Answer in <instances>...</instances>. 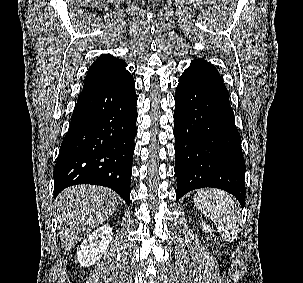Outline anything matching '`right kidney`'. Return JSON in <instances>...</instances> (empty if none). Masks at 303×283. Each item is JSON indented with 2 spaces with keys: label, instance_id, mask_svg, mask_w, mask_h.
I'll use <instances>...</instances> for the list:
<instances>
[{
  "label": "right kidney",
  "instance_id": "1",
  "mask_svg": "<svg viewBox=\"0 0 303 283\" xmlns=\"http://www.w3.org/2000/svg\"><path fill=\"white\" fill-rule=\"evenodd\" d=\"M112 240V228L104 225L85 238L77 250V259L82 266H91L106 253Z\"/></svg>",
  "mask_w": 303,
  "mask_h": 283
}]
</instances>
